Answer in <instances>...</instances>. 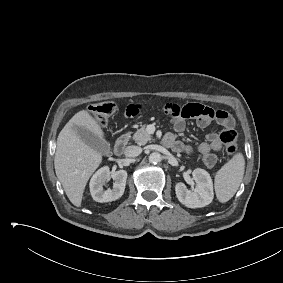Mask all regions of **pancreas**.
<instances>
[{"label": "pancreas", "mask_w": 283, "mask_h": 283, "mask_svg": "<svg viewBox=\"0 0 283 283\" xmlns=\"http://www.w3.org/2000/svg\"><path fill=\"white\" fill-rule=\"evenodd\" d=\"M132 139L138 145H145L148 141H150L151 135L146 131V125L141 126V128L134 133Z\"/></svg>", "instance_id": "1"}]
</instances>
